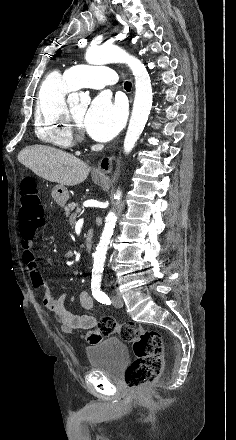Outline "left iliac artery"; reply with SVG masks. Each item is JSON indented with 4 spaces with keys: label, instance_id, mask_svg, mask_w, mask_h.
Returning a JSON list of instances; mask_svg holds the SVG:
<instances>
[{
    "label": "left iliac artery",
    "instance_id": "1",
    "mask_svg": "<svg viewBox=\"0 0 236 440\" xmlns=\"http://www.w3.org/2000/svg\"><path fill=\"white\" fill-rule=\"evenodd\" d=\"M91 289H92L93 297L98 302H100L102 304H106V305L111 304V300L109 299V297L104 292L101 291L100 285H92Z\"/></svg>",
    "mask_w": 236,
    "mask_h": 440
}]
</instances>
